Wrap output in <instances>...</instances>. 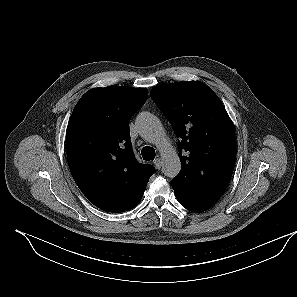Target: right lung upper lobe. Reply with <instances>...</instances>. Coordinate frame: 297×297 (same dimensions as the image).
I'll list each match as a JSON object with an SVG mask.
<instances>
[{"label":"right lung upper lobe","instance_id":"right-lung-upper-lobe-1","mask_svg":"<svg viewBox=\"0 0 297 297\" xmlns=\"http://www.w3.org/2000/svg\"><path fill=\"white\" fill-rule=\"evenodd\" d=\"M147 95L146 88H94L70 117L66 153L71 174L86 198L106 212L134 206L155 172L135 159L129 132V121Z\"/></svg>","mask_w":297,"mask_h":297}]
</instances>
